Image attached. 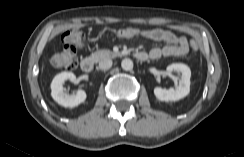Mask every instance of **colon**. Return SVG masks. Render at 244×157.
<instances>
[{"label":"colon","instance_id":"colon-1","mask_svg":"<svg viewBox=\"0 0 244 157\" xmlns=\"http://www.w3.org/2000/svg\"><path fill=\"white\" fill-rule=\"evenodd\" d=\"M143 30L134 27L121 28L116 31V36L122 39L138 37ZM64 46L55 51L50 57V64L56 69L71 70L77 66V50L85 46L86 35L81 29L66 31L62 35ZM191 48L198 49V44L191 41Z\"/></svg>","mask_w":244,"mask_h":157}]
</instances>
